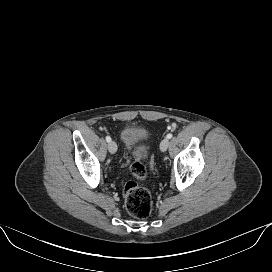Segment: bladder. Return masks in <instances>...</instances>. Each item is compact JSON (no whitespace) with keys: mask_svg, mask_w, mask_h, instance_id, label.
Instances as JSON below:
<instances>
[{"mask_svg":"<svg viewBox=\"0 0 272 272\" xmlns=\"http://www.w3.org/2000/svg\"><path fill=\"white\" fill-rule=\"evenodd\" d=\"M147 136V132L144 128L130 125L126 126L121 133L122 140L127 149L132 150L139 145Z\"/></svg>","mask_w":272,"mask_h":272,"instance_id":"31cf9c89","label":"bladder"}]
</instances>
